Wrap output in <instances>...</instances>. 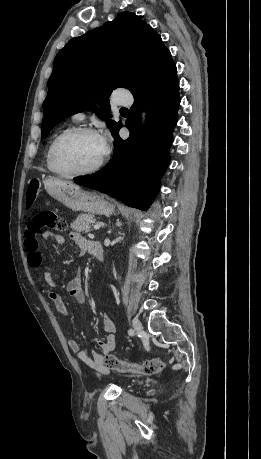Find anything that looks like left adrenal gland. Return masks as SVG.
Returning <instances> with one entry per match:
<instances>
[{
    "label": "left adrenal gland",
    "instance_id": "obj_1",
    "mask_svg": "<svg viewBox=\"0 0 261 459\" xmlns=\"http://www.w3.org/2000/svg\"><path fill=\"white\" fill-rule=\"evenodd\" d=\"M111 231H112V230H111V228H110V229H109V233H111Z\"/></svg>",
    "mask_w": 261,
    "mask_h": 459
}]
</instances>
